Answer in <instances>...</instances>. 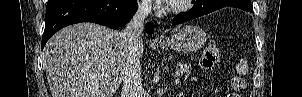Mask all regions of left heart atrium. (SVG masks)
I'll return each instance as SVG.
<instances>
[{"instance_id":"39dd6f15","label":"left heart atrium","mask_w":302,"mask_h":97,"mask_svg":"<svg viewBox=\"0 0 302 97\" xmlns=\"http://www.w3.org/2000/svg\"><path fill=\"white\" fill-rule=\"evenodd\" d=\"M158 2H162V3H165V4H175V3H178L179 0H159Z\"/></svg>"}]
</instances>
